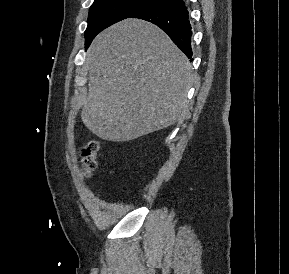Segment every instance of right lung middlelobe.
Returning a JSON list of instances; mask_svg holds the SVG:
<instances>
[{
	"label": "right lung middle lobe",
	"mask_w": 289,
	"mask_h": 274,
	"mask_svg": "<svg viewBox=\"0 0 289 274\" xmlns=\"http://www.w3.org/2000/svg\"><path fill=\"white\" fill-rule=\"evenodd\" d=\"M163 0H95L92 4L85 31V48L105 28Z\"/></svg>",
	"instance_id": "right-lung-middle-lobe-1"
}]
</instances>
